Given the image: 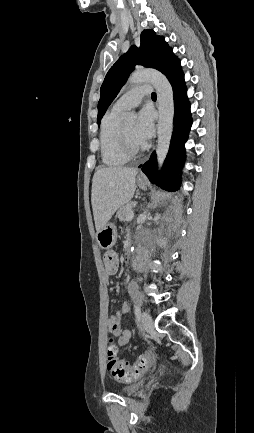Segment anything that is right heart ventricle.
I'll use <instances>...</instances> for the list:
<instances>
[{"mask_svg":"<svg viewBox=\"0 0 254 433\" xmlns=\"http://www.w3.org/2000/svg\"><path fill=\"white\" fill-rule=\"evenodd\" d=\"M121 112L110 110L101 121L100 153L102 162L109 167H118L129 161L122 151L119 137V117Z\"/></svg>","mask_w":254,"mask_h":433,"instance_id":"right-heart-ventricle-1","label":"right heart ventricle"}]
</instances>
